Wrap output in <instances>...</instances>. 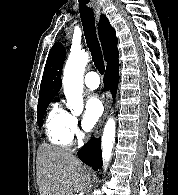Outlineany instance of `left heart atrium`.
Returning a JSON list of instances; mask_svg holds the SVG:
<instances>
[{
  "instance_id": "1",
  "label": "left heart atrium",
  "mask_w": 178,
  "mask_h": 195,
  "mask_svg": "<svg viewBox=\"0 0 178 195\" xmlns=\"http://www.w3.org/2000/svg\"><path fill=\"white\" fill-rule=\"evenodd\" d=\"M103 112V105L100 98L91 95L85 104V111L82 119V127L86 131H90L99 121Z\"/></svg>"
}]
</instances>
